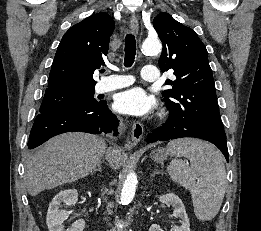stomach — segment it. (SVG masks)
<instances>
[{
    "label": "stomach",
    "mask_w": 261,
    "mask_h": 231,
    "mask_svg": "<svg viewBox=\"0 0 261 231\" xmlns=\"http://www.w3.org/2000/svg\"><path fill=\"white\" fill-rule=\"evenodd\" d=\"M150 156L153 161L160 163L167 160L172 154L165 148H157L151 151Z\"/></svg>",
    "instance_id": "obj_1"
}]
</instances>
